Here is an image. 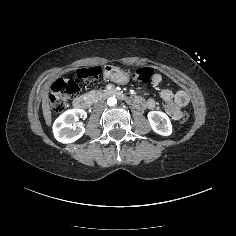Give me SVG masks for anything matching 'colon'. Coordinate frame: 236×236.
Listing matches in <instances>:
<instances>
[{
  "label": "colon",
  "instance_id": "obj_1",
  "mask_svg": "<svg viewBox=\"0 0 236 236\" xmlns=\"http://www.w3.org/2000/svg\"><path fill=\"white\" fill-rule=\"evenodd\" d=\"M101 69L99 67L82 68L69 78L57 79L51 86L49 94V102L53 111L62 112L68 105V102L73 98L79 90L81 82L93 83L97 80ZM154 71L151 68L144 67L134 70L132 77L141 83L153 81ZM181 121L186 122L189 119V114L184 112L181 114Z\"/></svg>",
  "mask_w": 236,
  "mask_h": 236
}]
</instances>
